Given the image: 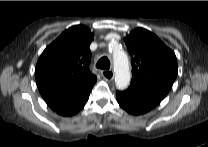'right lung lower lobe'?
Segmentation results:
<instances>
[{
	"label": "right lung lower lobe",
	"instance_id": "1",
	"mask_svg": "<svg viewBox=\"0 0 208 147\" xmlns=\"http://www.w3.org/2000/svg\"><path fill=\"white\" fill-rule=\"evenodd\" d=\"M89 98V95L86 96L83 100H81L80 102L76 103L73 106L67 107V108H63L60 109L58 111H56L58 114L62 115V116H71L74 115L76 113H78L86 104L87 100Z\"/></svg>",
	"mask_w": 208,
	"mask_h": 147
}]
</instances>
